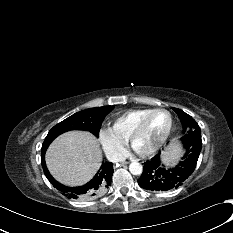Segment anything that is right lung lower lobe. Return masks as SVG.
<instances>
[{"label": "right lung lower lobe", "instance_id": "1", "mask_svg": "<svg viewBox=\"0 0 233 233\" xmlns=\"http://www.w3.org/2000/svg\"><path fill=\"white\" fill-rule=\"evenodd\" d=\"M41 164L47 179L69 199H90L101 195L110 186L113 175V163H103L94 178L87 184L68 187L57 182L49 173L45 164V151H41Z\"/></svg>", "mask_w": 233, "mask_h": 233}]
</instances>
